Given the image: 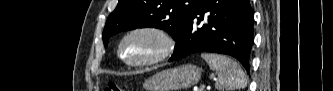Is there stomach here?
Wrapping results in <instances>:
<instances>
[{
	"mask_svg": "<svg viewBox=\"0 0 333 91\" xmlns=\"http://www.w3.org/2000/svg\"><path fill=\"white\" fill-rule=\"evenodd\" d=\"M200 69L193 64L160 71L147 80L143 86L147 91H177L189 88L198 83Z\"/></svg>",
	"mask_w": 333,
	"mask_h": 91,
	"instance_id": "1",
	"label": "stomach"
}]
</instances>
